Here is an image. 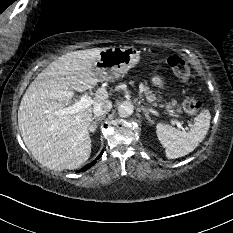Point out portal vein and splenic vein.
Returning a JSON list of instances; mask_svg holds the SVG:
<instances>
[{"mask_svg":"<svg viewBox=\"0 0 233 233\" xmlns=\"http://www.w3.org/2000/svg\"><path fill=\"white\" fill-rule=\"evenodd\" d=\"M92 102L93 100L90 96L82 95L78 102L74 103L72 106L64 108L63 110H61V113L74 114L79 110L89 107L92 104ZM172 124L177 125L179 129H183L182 124L175 119L172 120Z\"/></svg>","mask_w":233,"mask_h":233,"instance_id":"1","label":"portal vein and splenic vein"}]
</instances>
